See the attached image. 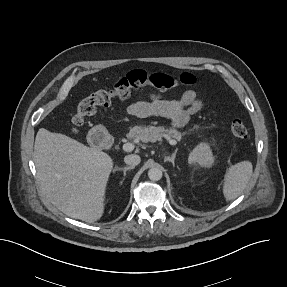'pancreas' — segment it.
Instances as JSON below:
<instances>
[{
    "instance_id": "pancreas-1",
    "label": "pancreas",
    "mask_w": 287,
    "mask_h": 287,
    "mask_svg": "<svg viewBox=\"0 0 287 287\" xmlns=\"http://www.w3.org/2000/svg\"><path fill=\"white\" fill-rule=\"evenodd\" d=\"M184 133L174 129V128H167L165 126H143L137 125L130 128L127 137L129 139H137L144 143L147 142H155L157 140H161L162 138L170 137L177 141H181Z\"/></svg>"
}]
</instances>
